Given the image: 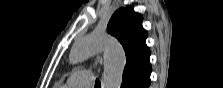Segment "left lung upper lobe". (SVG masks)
<instances>
[{
  "instance_id": "1",
  "label": "left lung upper lobe",
  "mask_w": 223,
  "mask_h": 88,
  "mask_svg": "<svg viewBox=\"0 0 223 88\" xmlns=\"http://www.w3.org/2000/svg\"><path fill=\"white\" fill-rule=\"evenodd\" d=\"M142 20L133 7L127 6L118 9L108 23L107 31L120 41L126 53L124 73L149 63L150 50L145 43L147 32L142 27Z\"/></svg>"
}]
</instances>
